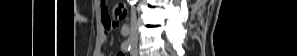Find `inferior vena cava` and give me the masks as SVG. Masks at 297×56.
Returning a JSON list of instances; mask_svg holds the SVG:
<instances>
[{
	"label": "inferior vena cava",
	"instance_id": "602c4592",
	"mask_svg": "<svg viewBox=\"0 0 297 56\" xmlns=\"http://www.w3.org/2000/svg\"><path fill=\"white\" fill-rule=\"evenodd\" d=\"M136 22H137V19H136V12H135V9L132 8V10H131V22H130V25H131V33H132V34H135V33H136Z\"/></svg>",
	"mask_w": 297,
	"mask_h": 56
}]
</instances>
